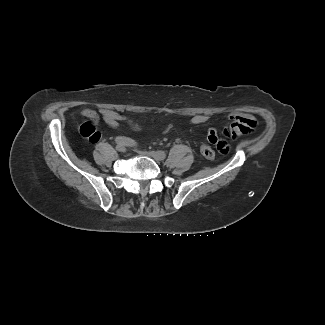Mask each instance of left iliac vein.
Masks as SVG:
<instances>
[{
    "label": "left iliac vein",
    "instance_id": "4c4485c4",
    "mask_svg": "<svg viewBox=\"0 0 325 325\" xmlns=\"http://www.w3.org/2000/svg\"><path fill=\"white\" fill-rule=\"evenodd\" d=\"M141 154L152 157L156 161H161L159 159L158 153L155 151H143V152H141Z\"/></svg>",
    "mask_w": 325,
    "mask_h": 325
}]
</instances>
